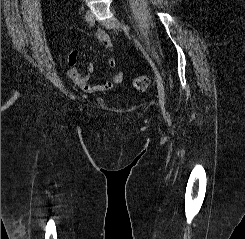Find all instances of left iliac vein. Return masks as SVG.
Instances as JSON below:
<instances>
[{
	"instance_id": "1",
	"label": "left iliac vein",
	"mask_w": 245,
	"mask_h": 239,
	"mask_svg": "<svg viewBox=\"0 0 245 239\" xmlns=\"http://www.w3.org/2000/svg\"><path fill=\"white\" fill-rule=\"evenodd\" d=\"M104 24L108 29H112L114 31L121 30V24L116 18H111L105 21ZM155 79H156L157 88H158L159 104H160L161 109L164 110V103H165L164 87H163V84L158 80L156 73H155Z\"/></svg>"
}]
</instances>
